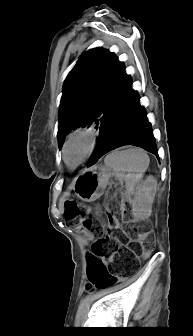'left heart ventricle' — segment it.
<instances>
[{
	"label": "left heart ventricle",
	"instance_id": "1",
	"mask_svg": "<svg viewBox=\"0 0 193 336\" xmlns=\"http://www.w3.org/2000/svg\"><path fill=\"white\" fill-rule=\"evenodd\" d=\"M87 144L85 138H76L71 142L67 149V159L71 164H75L83 157Z\"/></svg>",
	"mask_w": 193,
	"mask_h": 336
}]
</instances>
